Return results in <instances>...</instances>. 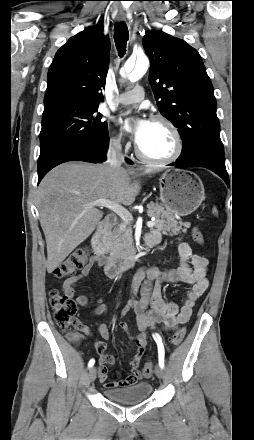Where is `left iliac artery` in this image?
Wrapping results in <instances>:
<instances>
[{
    "mask_svg": "<svg viewBox=\"0 0 254 440\" xmlns=\"http://www.w3.org/2000/svg\"><path fill=\"white\" fill-rule=\"evenodd\" d=\"M157 346H158V360H159V366L163 369L164 368V356H165V351H164V346L162 343V339L158 334L153 335Z\"/></svg>",
    "mask_w": 254,
    "mask_h": 440,
    "instance_id": "left-iliac-artery-1",
    "label": "left iliac artery"
}]
</instances>
